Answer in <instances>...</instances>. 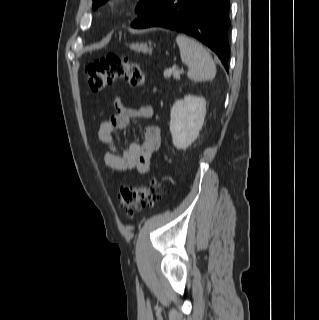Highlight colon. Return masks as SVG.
I'll use <instances>...</instances> for the list:
<instances>
[{
	"label": "colon",
	"instance_id": "colon-1",
	"mask_svg": "<svg viewBox=\"0 0 319 320\" xmlns=\"http://www.w3.org/2000/svg\"><path fill=\"white\" fill-rule=\"evenodd\" d=\"M89 87L99 91L110 86L115 80H122L134 88L145 83L140 66L116 53L109 52L99 60L85 67ZM163 195L156 181L140 186H128L121 189L119 202L128 217L145 206H153Z\"/></svg>",
	"mask_w": 319,
	"mask_h": 320
}]
</instances>
